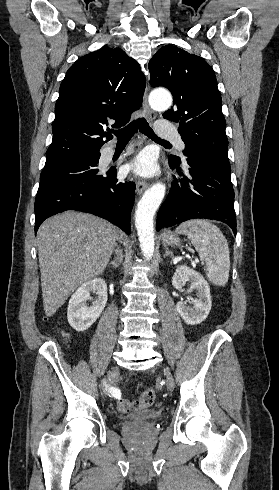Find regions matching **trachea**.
Instances as JSON below:
<instances>
[{"mask_svg":"<svg viewBox=\"0 0 279 490\" xmlns=\"http://www.w3.org/2000/svg\"><path fill=\"white\" fill-rule=\"evenodd\" d=\"M138 129L140 130L141 133L147 135V137L154 140V142L169 144V142H166V140H162L161 138L157 137V135H155L154 131L149 126L145 118H138L137 120H134L133 122L129 123L127 127L121 128L120 130H110V131L116 135V137L118 138V142H120V141L130 140L132 135L135 132H137Z\"/></svg>","mask_w":279,"mask_h":490,"instance_id":"trachea-1","label":"trachea"}]
</instances>
